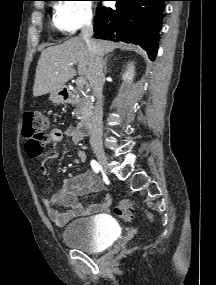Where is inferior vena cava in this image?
Masks as SVG:
<instances>
[{"instance_id": "inferior-vena-cava-1", "label": "inferior vena cava", "mask_w": 216, "mask_h": 285, "mask_svg": "<svg viewBox=\"0 0 216 285\" xmlns=\"http://www.w3.org/2000/svg\"><path fill=\"white\" fill-rule=\"evenodd\" d=\"M93 35V24L92 20L89 19L81 30V38L85 40L90 60L88 67V79L96 97V107L91 120V133L90 143L92 146L101 144L102 141V114H103V61L102 56L96 44L91 39Z\"/></svg>"}]
</instances>
